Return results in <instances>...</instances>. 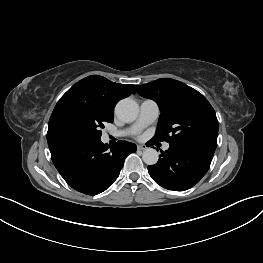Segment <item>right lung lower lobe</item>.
Returning a JSON list of instances; mask_svg holds the SVG:
<instances>
[{"instance_id":"right-lung-lower-lobe-1","label":"right lung lower lobe","mask_w":263,"mask_h":263,"mask_svg":"<svg viewBox=\"0 0 263 263\" xmlns=\"http://www.w3.org/2000/svg\"><path fill=\"white\" fill-rule=\"evenodd\" d=\"M136 148L127 141H119L112 148L100 139L49 147L52 161L63 179L87 195H97L109 188L118 178L125 158Z\"/></svg>"}]
</instances>
